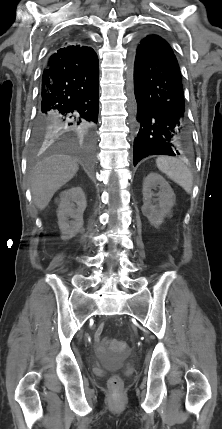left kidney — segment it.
<instances>
[{"mask_svg": "<svg viewBox=\"0 0 222 429\" xmlns=\"http://www.w3.org/2000/svg\"><path fill=\"white\" fill-rule=\"evenodd\" d=\"M159 186L158 204H152L155 195L151 189ZM143 207L142 212L148 218L151 225L158 227L171 212L175 204V194L168 182L159 174L151 172L143 182Z\"/></svg>", "mask_w": 222, "mask_h": 429, "instance_id": "left-kidney-1", "label": "left kidney"}]
</instances>
